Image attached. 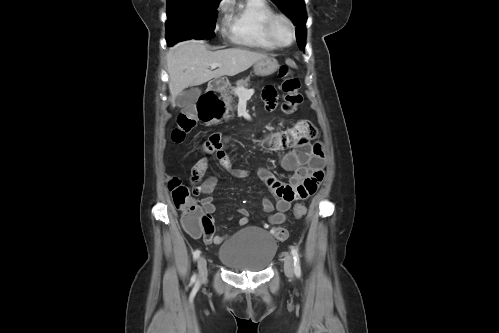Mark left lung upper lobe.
I'll use <instances>...</instances> for the list:
<instances>
[{"label": "left lung upper lobe", "mask_w": 499, "mask_h": 333, "mask_svg": "<svg viewBox=\"0 0 499 333\" xmlns=\"http://www.w3.org/2000/svg\"><path fill=\"white\" fill-rule=\"evenodd\" d=\"M279 9L286 14L296 25L297 43L300 49L305 48L306 40V21L304 0H272Z\"/></svg>", "instance_id": "left-lung-upper-lobe-1"}]
</instances>
